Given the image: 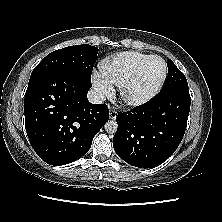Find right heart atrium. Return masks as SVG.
Returning <instances> with one entry per match:
<instances>
[{
    "instance_id": "1",
    "label": "right heart atrium",
    "mask_w": 222,
    "mask_h": 222,
    "mask_svg": "<svg viewBox=\"0 0 222 222\" xmlns=\"http://www.w3.org/2000/svg\"><path fill=\"white\" fill-rule=\"evenodd\" d=\"M92 84L101 97H110L114 94L112 83L104 75L94 72L92 74Z\"/></svg>"
}]
</instances>
